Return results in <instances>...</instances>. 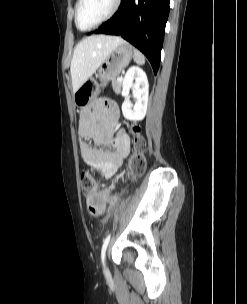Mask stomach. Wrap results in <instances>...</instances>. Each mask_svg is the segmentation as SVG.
<instances>
[{"label":"stomach","instance_id":"obj_1","mask_svg":"<svg viewBox=\"0 0 247 304\" xmlns=\"http://www.w3.org/2000/svg\"><path fill=\"white\" fill-rule=\"evenodd\" d=\"M133 57V47L128 43L120 44L116 47L100 65L96 78L100 84L95 81H86L74 92V102L80 108L88 107L91 102L98 96L100 86L106 85L113 81L128 66Z\"/></svg>","mask_w":247,"mask_h":304}]
</instances>
